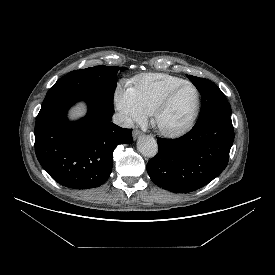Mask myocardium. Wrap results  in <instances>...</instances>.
<instances>
[{
  "instance_id": "myocardium-1",
  "label": "myocardium",
  "mask_w": 275,
  "mask_h": 275,
  "mask_svg": "<svg viewBox=\"0 0 275 275\" xmlns=\"http://www.w3.org/2000/svg\"><path fill=\"white\" fill-rule=\"evenodd\" d=\"M183 86H190L193 88L196 94V103L195 107L193 110V113L189 120L183 124L182 126L175 128V129H164L160 127L158 124V118L160 114L167 108L169 105L173 95ZM200 109H201V95L199 92V89L190 81L184 80L183 82L173 86L170 88L164 96L159 100V102L155 105L151 112V122L153 126L163 135L168 136V137H175L184 134L188 130H190L194 124L196 123L199 114H200Z\"/></svg>"
}]
</instances>
